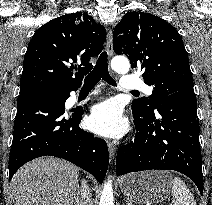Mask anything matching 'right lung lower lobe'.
Here are the masks:
<instances>
[{
	"instance_id": "1",
	"label": "right lung lower lobe",
	"mask_w": 212,
	"mask_h": 205,
	"mask_svg": "<svg viewBox=\"0 0 212 205\" xmlns=\"http://www.w3.org/2000/svg\"><path fill=\"white\" fill-rule=\"evenodd\" d=\"M77 89L47 85L20 93L9 181L22 165L41 156L66 159L103 181L109 164L106 142L80 128L83 110L65 111L66 99Z\"/></svg>"
}]
</instances>
